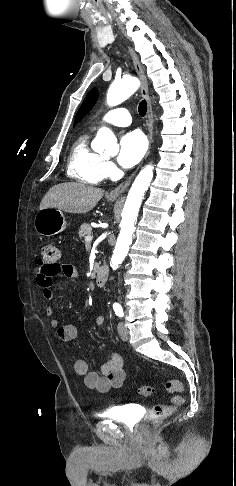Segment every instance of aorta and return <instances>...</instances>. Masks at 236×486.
<instances>
[{
  "instance_id": "1",
  "label": "aorta",
  "mask_w": 236,
  "mask_h": 486,
  "mask_svg": "<svg viewBox=\"0 0 236 486\" xmlns=\"http://www.w3.org/2000/svg\"><path fill=\"white\" fill-rule=\"evenodd\" d=\"M139 80L135 77L124 78L110 85L107 92V103L109 106H116L133 93L139 87ZM92 148L96 152L103 150L110 152L118 149L117 140L113 132L106 127H102L92 143ZM153 178V166L147 165L137 175L128 193L120 223V234L111 259V267L117 268L125 259L129 246L132 242V235L135 231V221L141 206V201L145 191L148 189Z\"/></svg>"
}]
</instances>
